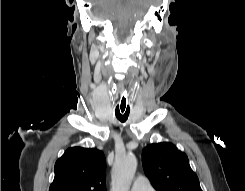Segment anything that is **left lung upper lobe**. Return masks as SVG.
<instances>
[{
    "label": "left lung upper lobe",
    "mask_w": 245,
    "mask_h": 191,
    "mask_svg": "<svg viewBox=\"0 0 245 191\" xmlns=\"http://www.w3.org/2000/svg\"><path fill=\"white\" fill-rule=\"evenodd\" d=\"M142 163L157 191H202L187 155L171 143L162 142L145 147Z\"/></svg>",
    "instance_id": "1"
}]
</instances>
